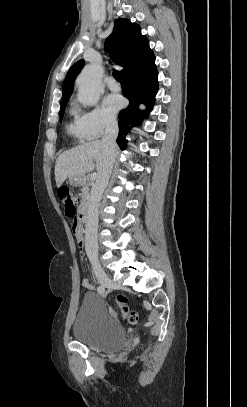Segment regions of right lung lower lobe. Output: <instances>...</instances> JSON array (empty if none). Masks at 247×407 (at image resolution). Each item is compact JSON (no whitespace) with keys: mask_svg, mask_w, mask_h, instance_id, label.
I'll return each instance as SVG.
<instances>
[{"mask_svg":"<svg viewBox=\"0 0 247 407\" xmlns=\"http://www.w3.org/2000/svg\"><path fill=\"white\" fill-rule=\"evenodd\" d=\"M157 75L154 56L122 74V92L130 103L119 113L117 143L121 150L127 147L125 135L137 124L138 119L145 116V113L139 110V104H146L148 110L152 109L158 90Z\"/></svg>","mask_w":247,"mask_h":407,"instance_id":"obj_1","label":"right lung lower lobe"}]
</instances>
